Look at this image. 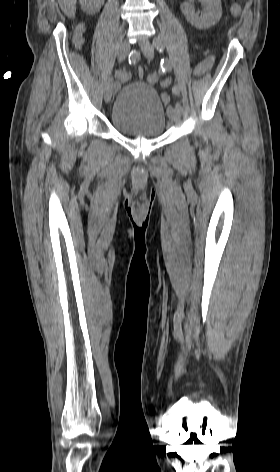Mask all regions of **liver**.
Returning a JSON list of instances; mask_svg holds the SVG:
<instances>
[{
    "instance_id": "liver-1",
    "label": "liver",
    "mask_w": 280,
    "mask_h": 472,
    "mask_svg": "<svg viewBox=\"0 0 280 472\" xmlns=\"http://www.w3.org/2000/svg\"><path fill=\"white\" fill-rule=\"evenodd\" d=\"M76 2L77 0H58L61 10L69 18H73L75 16Z\"/></svg>"
}]
</instances>
